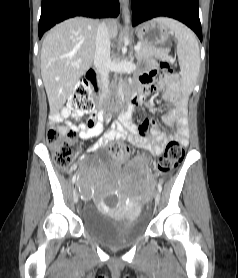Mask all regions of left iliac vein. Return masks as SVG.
I'll list each match as a JSON object with an SVG mask.
<instances>
[{
  "label": "left iliac vein",
  "instance_id": "1",
  "mask_svg": "<svg viewBox=\"0 0 238 278\" xmlns=\"http://www.w3.org/2000/svg\"><path fill=\"white\" fill-rule=\"evenodd\" d=\"M159 201H160V194H159V192H156V195H155V204L158 205Z\"/></svg>",
  "mask_w": 238,
  "mask_h": 278
}]
</instances>
